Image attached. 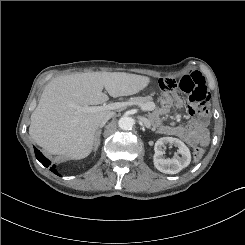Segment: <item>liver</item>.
Masks as SVG:
<instances>
[{
  "mask_svg": "<svg viewBox=\"0 0 245 245\" xmlns=\"http://www.w3.org/2000/svg\"><path fill=\"white\" fill-rule=\"evenodd\" d=\"M151 79L125 72H88L59 76L44 88L31 114L29 134L50 154L72 159L87 157L94 146L97 129L111 111L86 113L76 106L99 105L114 98L139 93Z\"/></svg>",
  "mask_w": 245,
  "mask_h": 245,
  "instance_id": "6515ba94",
  "label": "liver"
}]
</instances>
